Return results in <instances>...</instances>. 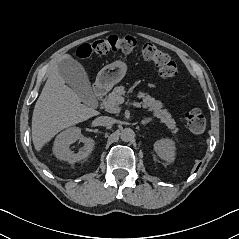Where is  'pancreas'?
<instances>
[{"instance_id": "cf45deb5", "label": "pancreas", "mask_w": 239, "mask_h": 239, "mask_svg": "<svg viewBox=\"0 0 239 239\" xmlns=\"http://www.w3.org/2000/svg\"><path fill=\"white\" fill-rule=\"evenodd\" d=\"M125 94L126 90L124 86L115 87L113 91L103 99L102 106L110 113H119L120 103L118 100ZM137 96L139 99H142L141 103L143 107L147 108L149 111H152L154 116L159 118L173 134H176L179 131V129L176 127L175 120L172 118L168 110L162 109L163 104L160 101L156 100L154 97L145 92H139Z\"/></svg>"}]
</instances>
